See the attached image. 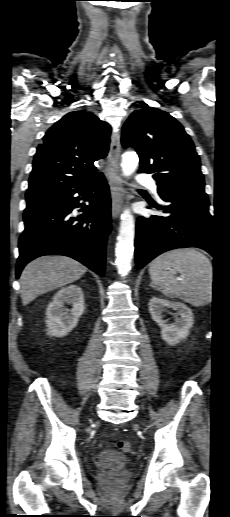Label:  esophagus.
Returning <instances> with one entry per match:
<instances>
[{
    "label": "esophagus",
    "instance_id": "esophagus-1",
    "mask_svg": "<svg viewBox=\"0 0 230 517\" xmlns=\"http://www.w3.org/2000/svg\"><path fill=\"white\" fill-rule=\"evenodd\" d=\"M120 153V134L115 130L111 135L109 166L107 170V178L111 190L113 219H117L119 217L125 195L124 182L120 175Z\"/></svg>",
    "mask_w": 230,
    "mask_h": 517
}]
</instances>
